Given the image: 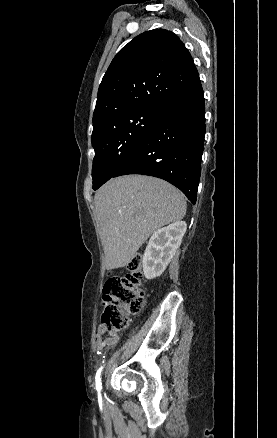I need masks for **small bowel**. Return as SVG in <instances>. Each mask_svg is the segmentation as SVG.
<instances>
[{"label": "small bowel", "instance_id": "small-bowel-1", "mask_svg": "<svg viewBox=\"0 0 277 438\" xmlns=\"http://www.w3.org/2000/svg\"><path fill=\"white\" fill-rule=\"evenodd\" d=\"M102 339L103 336L99 334L95 341V344H99L98 349H100L103 344L106 346H114L119 342V336L116 333L109 334L104 341Z\"/></svg>", "mask_w": 277, "mask_h": 438}]
</instances>
